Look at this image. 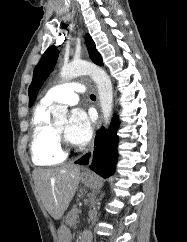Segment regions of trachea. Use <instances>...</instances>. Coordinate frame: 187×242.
Masks as SVG:
<instances>
[{"instance_id": "obj_1", "label": "trachea", "mask_w": 187, "mask_h": 242, "mask_svg": "<svg viewBox=\"0 0 187 242\" xmlns=\"http://www.w3.org/2000/svg\"><path fill=\"white\" fill-rule=\"evenodd\" d=\"M91 99H96V96L94 94L90 95Z\"/></svg>"}]
</instances>
